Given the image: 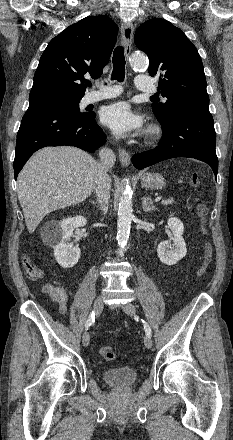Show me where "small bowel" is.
Wrapping results in <instances>:
<instances>
[{
	"label": "small bowel",
	"instance_id": "c3829d8e",
	"mask_svg": "<svg viewBox=\"0 0 233 440\" xmlns=\"http://www.w3.org/2000/svg\"><path fill=\"white\" fill-rule=\"evenodd\" d=\"M41 291L44 295H47L52 302L57 304L61 314L66 313L68 294L64 287L61 285L44 284Z\"/></svg>",
	"mask_w": 233,
	"mask_h": 440
}]
</instances>
